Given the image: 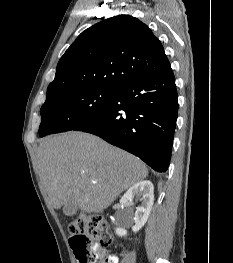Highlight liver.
I'll return each instance as SVG.
<instances>
[{
	"label": "liver",
	"mask_w": 233,
	"mask_h": 263,
	"mask_svg": "<svg viewBox=\"0 0 233 263\" xmlns=\"http://www.w3.org/2000/svg\"><path fill=\"white\" fill-rule=\"evenodd\" d=\"M40 177L55 209L70 198L85 213H100L144 180L146 165L101 138L83 132L49 136L38 148Z\"/></svg>",
	"instance_id": "liver-1"
}]
</instances>
